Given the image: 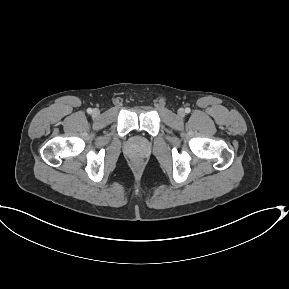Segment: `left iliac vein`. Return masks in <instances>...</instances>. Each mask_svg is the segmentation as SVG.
Wrapping results in <instances>:
<instances>
[{"mask_svg":"<svg viewBox=\"0 0 289 289\" xmlns=\"http://www.w3.org/2000/svg\"><path fill=\"white\" fill-rule=\"evenodd\" d=\"M178 115H179L180 117H184V116H185V110H184L183 108H180V109L178 110Z\"/></svg>","mask_w":289,"mask_h":289,"instance_id":"left-iliac-vein-1","label":"left iliac vein"}]
</instances>
